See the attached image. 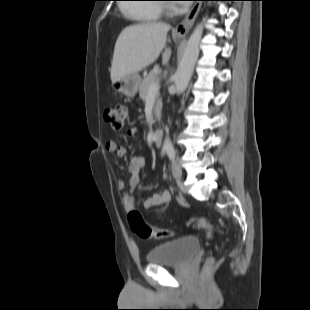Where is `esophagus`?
Masks as SVG:
<instances>
[{
	"label": "esophagus",
	"instance_id": "1",
	"mask_svg": "<svg viewBox=\"0 0 310 310\" xmlns=\"http://www.w3.org/2000/svg\"><path fill=\"white\" fill-rule=\"evenodd\" d=\"M200 8L201 3H195L192 9L183 18V20L180 23H178L177 26L174 28L173 30L174 34L180 37L186 36L190 31V29L192 28Z\"/></svg>",
	"mask_w": 310,
	"mask_h": 310
}]
</instances>
